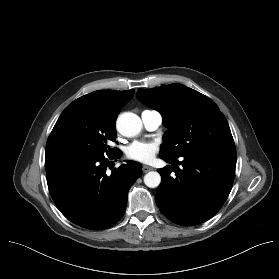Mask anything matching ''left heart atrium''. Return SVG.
Wrapping results in <instances>:
<instances>
[{
    "label": "left heart atrium",
    "mask_w": 279,
    "mask_h": 279,
    "mask_svg": "<svg viewBox=\"0 0 279 279\" xmlns=\"http://www.w3.org/2000/svg\"><path fill=\"white\" fill-rule=\"evenodd\" d=\"M157 151L158 145L154 142L136 141L126 148V156L134 161L149 163L152 161Z\"/></svg>",
    "instance_id": "1"
}]
</instances>
